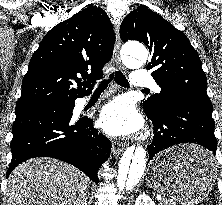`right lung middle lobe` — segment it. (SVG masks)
Masks as SVG:
<instances>
[{
    "mask_svg": "<svg viewBox=\"0 0 222 205\" xmlns=\"http://www.w3.org/2000/svg\"><path fill=\"white\" fill-rule=\"evenodd\" d=\"M53 102L63 103V104H71L72 103V102H66V101H53Z\"/></svg>",
    "mask_w": 222,
    "mask_h": 205,
    "instance_id": "1",
    "label": "right lung middle lobe"
}]
</instances>
